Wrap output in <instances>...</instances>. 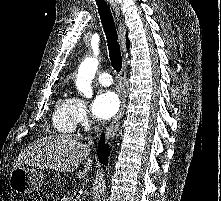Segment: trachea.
<instances>
[{
  "label": "trachea",
  "mask_w": 221,
  "mask_h": 201,
  "mask_svg": "<svg viewBox=\"0 0 221 201\" xmlns=\"http://www.w3.org/2000/svg\"><path fill=\"white\" fill-rule=\"evenodd\" d=\"M96 3L98 6L101 23L107 38L111 65L117 72H120L122 68V56L113 16L104 0H96Z\"/></svg>",
  "instance_id": "1"
}]
</instances>
